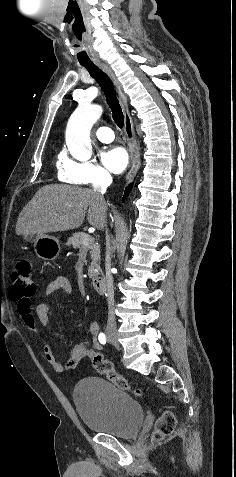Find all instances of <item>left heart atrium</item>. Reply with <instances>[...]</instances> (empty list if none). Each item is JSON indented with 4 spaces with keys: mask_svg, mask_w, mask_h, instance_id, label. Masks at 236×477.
<instances>
[{
    "mask_svg": "<svg viewBox=\"0 0 236 477\" xmlns=\"http://www.w3.org/2000/svg\"><path fill=\"white\" fill-rule=\"evenodd\" d=\"M128 154L122 147H110L102 152L104 165L113 173H121L128 164Z\"/></svg>",
    "mask_w": 236,
    "mask_h": 477,
    "instance_id": "obj_1",
    "label": "left heart atrium"
}]
</instances>
